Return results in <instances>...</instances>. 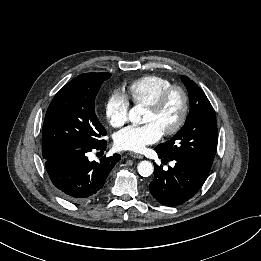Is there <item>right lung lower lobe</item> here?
Here are the masks:
<instances>
[{"mask_svg":"<svg viewBox=\"0 0 261 261\" xmlns=\"http://www.w3.org/2000/svg\"><path fill=\"white\" fill-rule=\"evenodd\" d=\"M106 141L101 140L90 148H78L46 159L45 167L59 194L72 202H86L98 195L105 181L121 159L119 154L102 157L99 162H90L87 153L105 150Z\"/></svg>","mask_w":261,"mask_h":261,"instance_id":"1","label":"right lung lower lobe"}]
</instances>
